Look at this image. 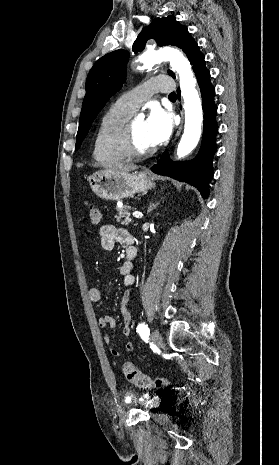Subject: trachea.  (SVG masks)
<instances>
[{"label": "trachea", "mask_w": 279, "mask_h": 465, "mask_svg": "<svg viewBox=\"0 0 279 465\" xmlns=\"http://www.w3.org/2000/svg\"><path fill=\"white\" fill-rule=\"evenodd\" d=\"M169 98H176V93L175 92L170 93Z\"/></svg>", "instance_id": "obj_1"}]
</instances>
